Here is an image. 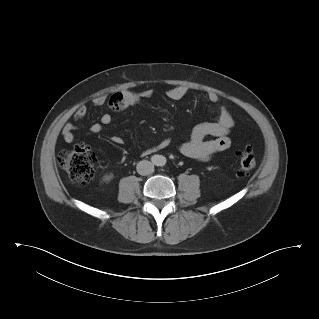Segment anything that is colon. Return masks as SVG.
I'll return each instance as SVG.
<instances>
[{"mask_svg": "<svg viewBox=\"0 0 319 319\" xmlns=\"http://www.w3.org/2000/svg\"><path fill=\"white\" fill-rule=\"evenodd\" d=\"M122 95L115 94L111 98L113 110H121ZM239 166L237 174L245 176L256 166V157L250 148L238 152ZM58 164L67 173L71 182L79 184L89 183L95 175L96 155L85 144L77 145L73 150L62 152L58 157Z\"/></svg>", "mask_w": 319, "mask_h": 319, "instance_id": "colon-1", "label": "colon"}]
</instances>
